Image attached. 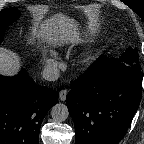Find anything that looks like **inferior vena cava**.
Returning <instances> with one entry per match:
<instances>
[{"mask_svg": "<svg viewBox=\"0 0 144 144\" xmlns=\"http://www.w3.org/2000/svg\"><path fill=\"white\" fill-rule=\"evenodd\" d=\"M42 76L45 80L56 81L60 76V71L57 67H46L43 70Z\"/></svg>", "mask_w": 144, "mask_h": 144, "instance_id": "obj_1", "label": "inferior vena cava"}]
</instances>
